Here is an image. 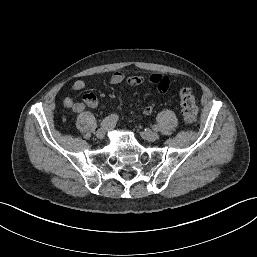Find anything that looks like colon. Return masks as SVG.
Here are the masks:
<instances>
[{
	"label": "colon",
	"mask_w": 257,
	"mask_h": 257,
	"mask_svg": "<svg viewBox=\"0 0 257 257\" xmlns=\"http://www.w3.org/2000/svg\"><path fill=\"white\" fill-rule=\"evenodd\" d=\"M180 105L182 116L186 125H192L197 118V101L189 88L181 87L179 89Z\"/></svg>",
	"instance_id": "5ec220e1"
}]
</instances>
